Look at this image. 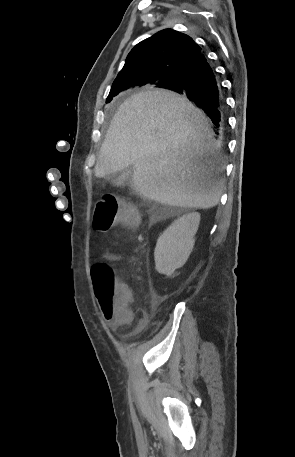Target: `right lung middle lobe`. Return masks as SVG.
I'll list each match as a JSON object with an SVG mask.
<instances>
[{
  "mask_svg": "<svg viewBox=\"0 0 295 457\" xmlns=\"http://www.w3.org/2000/svg\"><path fill=\"white\" fill-rule=\"evenodd\" d=\"M137 85L141 86L143 84H133V85L118 86L115 89L111 88V91H110L109 96L107 98V103L110 102L114 96H116L118 93H120V90H121L122 87H134V86H137ZM156 87H158V86H156Z\"/></svg>",
  "mask_w": 295,
  "mask_h": 457,
  "instance_id": "1",
  "label": "right lung middle lobe"
}]
</instances>
